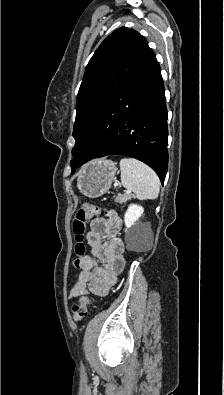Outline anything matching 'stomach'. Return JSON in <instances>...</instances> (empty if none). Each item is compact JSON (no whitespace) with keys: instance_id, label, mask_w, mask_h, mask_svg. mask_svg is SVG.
I'll use <instances>...</instances> for the list:
<instances>
[{"instance_id":"stomach-1","label":"stomach","mask_w":224,"mask_h":395,"mask_svg":"<svg viewBox=\"0 0 224 395\" xmlns=\"http://www.w3.org/2000/svg\"><path fill=\"white\" fill-rule=\"evenodd\" d=\"M116 172V163L111 160L91 161L79 173L77 187L86 197H100L110 189Z\"/></svg>"}]
</instances>
